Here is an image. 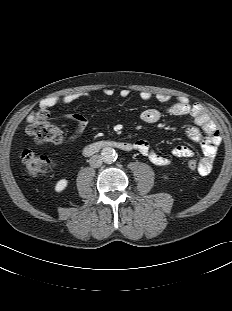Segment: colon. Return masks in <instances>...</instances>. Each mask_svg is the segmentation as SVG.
<instances>
[{
	"instance_id": "5ec220e1",
	"label": "colon",
	"mask_w": 232,
	"mask_h": 311,
	"mask_svg": "<svg viewBox=\"0 0 232 311\" xmlns=\"http://www.w3.org/2000/svg\"><path fill=\"white\" fill-rule=\"evenodd\" d=\"M27 132L32 136L34 142L42 144H59L64 141V136L60 129L47 121V112L44 110L37 111L33 120L27 128ZM21 160L29 176L36 177L40 174L53 169L54 163L48 157L36 154L32 150H24ZM187 166L191 170L198 168L197 160L190 159Z\"/></svg>"
}]
</instances>
